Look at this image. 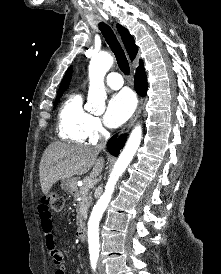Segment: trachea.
<instances>
[{"label": "trachea", "instance_id": "trachea-1", "mask_svg": "<svg viewBox=\"0 0 221 274\" xmlns=\"http://www.w3.org/2000/svg\"><path fill=\"white\" fill-rule=\"evenodd\" d=\"M99 29L101 30V33L105 38L107 44L109 45L110 49L114 53L120 70L123 72V74L129 76L130 66L128 60L113 30L104 22L99 23Z\"/></svg>", "mask_w": 221, "mask_h": 274}]
</instances>
